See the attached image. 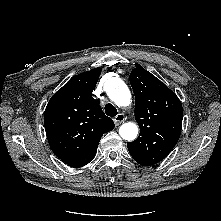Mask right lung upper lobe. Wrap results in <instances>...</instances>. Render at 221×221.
<instances>
[{
    "instance_id": "obj_1",
    "label": "right lung upper lobe",
    "mask_w": 221,
    "mask_h": 221,
    "mask_svg": "<svg viewBox=\"0 0 221 221\" xmlns=\"http://www.w3.org/2000/svg\"><path fill=\"white\" fill-rule=\"evenodd\" d=\"M101 68L74 76L50 99L44 125L54 154L71 167L87 165L95 157L102 135L114 128L92 97Z\"/></svg>"
}]
</instances>
